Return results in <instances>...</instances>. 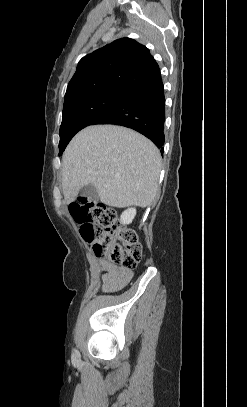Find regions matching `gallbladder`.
Wrapping results in <instances>:
<instances>
[{
    "instance_id": "1",
    "label": "gallbladder",
    "mask_w": 247,
    "mask_h": 407,
    "mask_svg": "<svg viewBox=\"0 0 247 407\" xmlns=\"http://www.w3.org/2000/svg\"><path fill=\"white\" fill-rule=\"evenodd\" d=\"M81 196L88 199V201H98L99 195L96 187L88 184L81 189Z\"/></svg>"
}]
</instances>
